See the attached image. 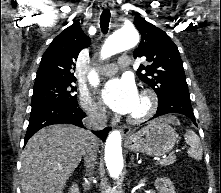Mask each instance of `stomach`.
<instances>
[{"label":"stomach","mask_w":221,"mask_h":193,"mask_svg":"<svg viewBox=\"0 0 221 193\" xmlns=\"http://www.w3.org/2000/svg\"><path fill=\"white\" fill-rule=\"evenodd\" d=\"M177 133L164 119L151 121L137 132L130 134L125 141L132 152H141L149 156H162L172 150Z\"/></svg>","instance_id":"0dacf381"}]
</instances>
